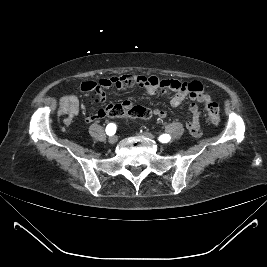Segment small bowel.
<instances>
[{"mask_svg":"<svg viewBox=\"0 0 267 267\" xmlns=\"http://www.w3.org/2000/svg\"><path fill=\"white\" fill-rule=\"evenodd\" d=\"M141 87L146 95L156 93H171L174 94L170 98L172 107H179L187 98L192 100L189 107L191 118L187 121L186 127L191 135L198 137L201 134L200 121L201 110L197 103H207L211 101L210 96L204 90V87L199 81L181 82L173 79H162L156 76H136L125 74L121 76L100 79L99 81H85L82 83V90L91 94V103H103L106 100L104 89L116 87L118 89H129L133 86ZM128 100H124L119 104H110L105 108H101L96 112H90L85 115L87 122L96 121L102 117L109 115L110 111L115 107L127 109L131 107ZM81 103L77 96L66 95L61 98L59 103L58 114L64 116V124L70 125L74 118L79 114ZM152 114L160 119L166 117V112L162 109L155 108Z\"/></svg>","mask_w":267,"mask_h":267,"instance_id":"obj_1","label":"small bowel"}]
</instances>
